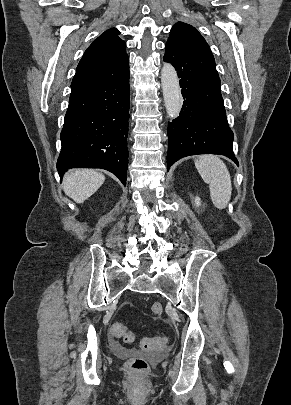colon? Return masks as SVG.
<instances>
[{
    "instance_id": "5ec220e1",
    "label": "colon",
    "mask_w": 291,
    "mask_h": 405,
    "mask_svg": "<svg viewBox=\"0 0 291 405\" xmlns=\"http://www.w3.org/2000/svg\"><path fill=\"white\" fill-rule=\"evenodd\" d=\"M151 310L155 316H159L163 312V307L160 303H154ZM110 336L114 339H123L125 342L134 340V336L123 323H115L110 329ZM166 345L167 338L165 337L144 338L141 341V347L146 351L162 350ZM126 368L133 374L141 375L147 371L148 362L143 357H131L126 362Z\"/></svg>"
}]
</instances>
